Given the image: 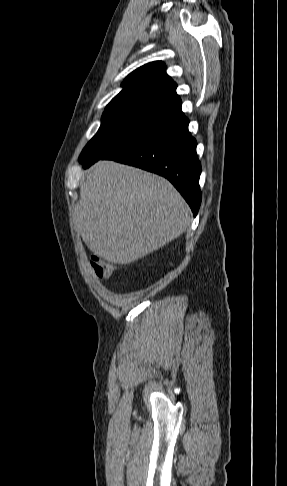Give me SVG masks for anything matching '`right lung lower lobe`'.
<instances>
[{"mask_svg": "<svg viewBox=\"0 0 287 486\" xmlns=\"http://www.w3.org/2000/svg\"><path fill=\"white\" fill-rule=\"evenodd\" d=\"M188 124L183 112L176 111L100 159L115 160L164 176L182 194L196 216L201 203V164L196 154L197 143L188 131Z\"/></svg>", "mask_w": 287, "mask_h": 486, "instance_id": "right-lung-lower-lobe-1", "label": "right lung lower lobe"}]
</instances>
